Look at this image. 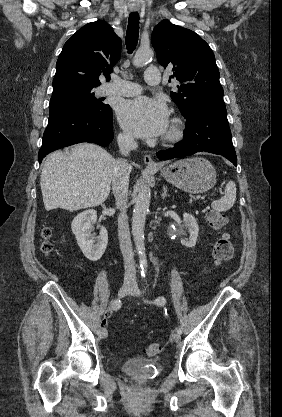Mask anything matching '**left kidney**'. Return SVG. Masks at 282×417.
Here are the masks:
<instances>
[{
	"label": "left kidney",
	"mask_w": 282,
	"mask_h": 417,
	"mask_svg": "<svg viewBox=\"0 0 282 417\" xmlns=\"http://www.w3.org/2000/svg\"><path fill=\"white\" fill-rule=\"evenodd\" d=\"M183 223L186 229H188L190 239H181V245H185V247H195L199 233L198 223L195 217L190 215V213H184Z\"/></svg>",
	"instance_id": "1"
}]
</instances>
